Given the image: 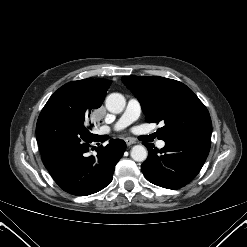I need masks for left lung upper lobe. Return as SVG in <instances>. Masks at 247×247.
I'll return each mask as SVG.
<instances>
[{
  "label": "left lung upper lobe",
  "instance_id": "5c2ea615",
  "mask_svg": "<svg viewBox=\"0 0 247 247\" xmlns=\"http://www.w3.org/2000/svg\"><path fill=\"white\" fill-rule=\"evenodd\" d=\"M122 81L139 100L149 123H165L158 130L159 139L192 132L212 133L207 108L183 83L159 76H123Z\"/></svg>",
  "mask_w": 247,
  "mask_h": 247
}]
</instances>
